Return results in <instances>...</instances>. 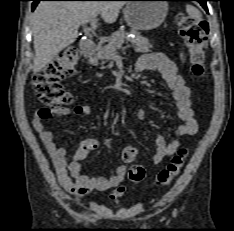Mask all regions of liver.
I'll list each match as a JSON object with an SVG mask.
<instances>
[{
	"mask_svg": "<svg viewBox=\"0 0 234 231\" xmlns=\"http://www.w3.org/2000/svg\"><path fill=\"white\" fill-rule=\"evenodd\" d=\"M124 1H42L33 13V71H41L63 49L76 41L78 28L101 15L114 23Z\"/></svg>",
	"mask_w": 234,
	"mask_h": 231,
	"instance_id": "6515ba94",
	"label": "liver"
}]
</instances>
